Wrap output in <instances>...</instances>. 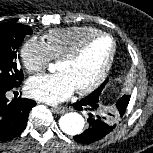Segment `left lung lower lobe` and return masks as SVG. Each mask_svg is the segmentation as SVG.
<instances>
[{
  "mask_svg": "<svg viewBox=\"0 0 153 153\" xmlns=\"http://www.w3.org/2000/svg\"><path fill=\"white\" fill-rule=\"evenodd\" d=\"M73 106L77 110L85 109L89 112V126L82 134L73 137L76 142L85 144L95 142L115 128L99 112V98L87 96L81 101L74 103Z\"/></svg>",
  "mask_w": 153,
  "mask_h": 153,
  "instance_id": "obj_1",
  "label": "left lung lower lobe"
}]
</instances>
